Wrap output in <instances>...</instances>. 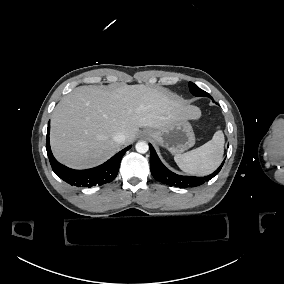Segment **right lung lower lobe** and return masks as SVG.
<instances>
[{
	"label": "right lung lower lobe",
	"instance_id": "98d812e1",
	"mask_svg": "<svg viewBox=\"0 0 284 284\" xmlns=\"http://www.w3.org/2000/svg\"><path fill=\"white\" fill-rule=\"evenodd\" d=\"M50 122L48 123L46 150L51 167L55 174L70 185L77 187H92L107 184L118 174L121 159L125 152L131 148L126 147L105 163L86 170H74L60 164L52 155L49 142Z\"/></svg>",
	"mask_w": 284,
	"mask_h": 284
}]
</instances>
